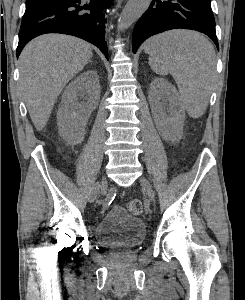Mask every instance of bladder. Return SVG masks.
Returning a JSON list of instances; mask_svg holds the SVG:
<instances>
[{"instance_id":"bladder-1","label":"bladder","mask_w":245,"mask_h":300,"mask_svg":"<svg viewBox=\"0 0 245 300\" xmlns=\"http://www.w3.org/2000/svg\"><path fill=\"white\" fill-rule=\"evenodd\" d=\"M95 234L98 242L104 247L131 249L143 242L146 226L141 218L116 206L98 221Z\"/></svg>"}]
</instances>
